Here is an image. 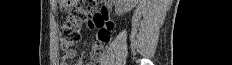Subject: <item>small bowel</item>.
<instances>
[{
    "instance_id": "small-bowel-1",
    "label": "small bowel",
    "mask_w": 232,
    "mask_h": 65,
    "mask_svg": "<svg viewBox=\"0 0 232 65\" xmlns=\"http://www.w3.org/2000/svg\"><path fill=\"white\" fill-rule=\"evenodd\" d=\"M88 28L98 29L97 38H100L102 35H105L103 40L105 45H107L111 40V34L113 30V23L108 17L106 10H102L93 15L92 19L88 21ZM94 51V47H93ZM92 51V56H93ZM76 56V51L71 49L66 51L61 58V65H68L69 61ZM80 65V64H77ZM86 65H95L94 63H88ZM96 65H101L99 62Z\"/></svg>"
}]
</instances>
